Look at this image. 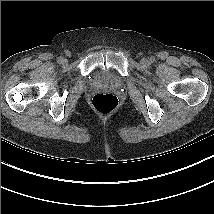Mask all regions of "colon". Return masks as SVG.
<instances>
[{
  "mask_svg": "<svg viewBox=\"0 0 214 214\" xmlns=\"http://www.w3.org/2000/svg\"><path fill=\"white\" fill-rule=\"evenodd\" d=\"M118 98L113 93H98L92 99L94 109L101 114L113 112L118 107Z\"/></svg>",
  "mask_w": 214,
  "mask_h": 214,
  "instance_id": "5ec220e1",
  "label": "colon"
}]
</instances>
